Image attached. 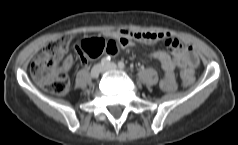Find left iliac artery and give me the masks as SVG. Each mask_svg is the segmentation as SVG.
<instances>
[{
  "label": "left iliac artery",
  "instance_id": "1",
  "mask_svg": "<svg viewBox=\"0 0 238 145\" xmlns=\"http://www.w3.org/2000/svg\"><path fill=\"white\" fill-rule=\"evenodd\" d=\"M118 66H119V68H121V69H125V64H124L123 61L118 62Z\"/></svg>",
  "mask_w": 238,
  "mask_h": 145
}]
</instances>
